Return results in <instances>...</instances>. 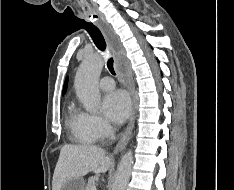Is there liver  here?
Instances as JSON below:
<instances>
[{
	"instance_id": "1",
	"label": "liver",
	"mask_w": 234,
	"mask_h": 190,
	"mask_svg": "<svg viewBox=\"0 0 234 190\" xmlns=\"http://www.w3.org/2000/svg\"><path fill=\"white\" fill-rule=\"evenodd\" d=\"M110 165V157L100 147L66 144L60 150L52 190H61L64 183L72 177H83L89 172L105 173Z\"/></svg>"
}]
</instances>
